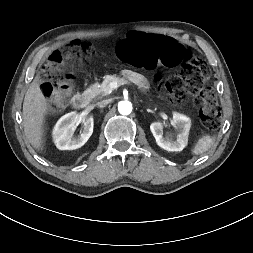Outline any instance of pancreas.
<instances>
[{"mask_svg":"<svg viewBox=\"0 0 253 253\" xmlns=\"http://www.w3.org/2000/svg\"><path fill=\"white\" fill-rule=\"evenodd\" d=\"M121 80L123 79L117 77L116 75H107L101 84H93L87 89L86 93L92 98H102L106 95H109L113 91V89L110 87L112 82H119Z\"/></svg>","mask_w":253,"mask_h":253,"instance_id":"pancreas-1","label":"pancreas"}]
</instances>
